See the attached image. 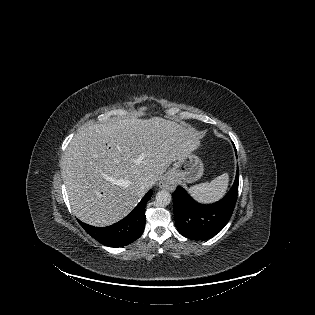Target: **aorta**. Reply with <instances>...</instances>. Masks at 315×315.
Returning a JSON list of instances; mask_svg holds the SVG:
<instances>
[{"mask_svg":"<svg viewBox=\"0 0 315 315\" xmlns=\"http://www.w3.org/2000/svg\"><path fill=\"white\" fill-rule=\"evenodd\" d=\"M155 199L159 206H166L171 202L172 196L168 191L161 190L156 194Z\"/></svg>","mask_w":315,"mask_h":315,"instance_id":"obj_1","label":"aorta"}]
</instances>
